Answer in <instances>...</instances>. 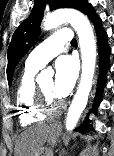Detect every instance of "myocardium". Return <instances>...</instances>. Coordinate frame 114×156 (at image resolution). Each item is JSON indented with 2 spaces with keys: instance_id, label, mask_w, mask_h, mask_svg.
I'll return each mask as SVG.
<instances>
[{
  "instance_id": "f54148a6",
  "label": "myocardium",
  "mask_w": 114,
  "mask_h": 156,
  "mask_svg": "<svg viewBox=\"0 0 114 156\" xmlns=\"http://www.w3.org/2000/svg\"><path fill=\"white\" fill-rule=\"evenodd\" d=\"M36 103L44 115H56L63 108V102L48 95L40 85L36 86Z\"/></svg>"
}]
</instances>
